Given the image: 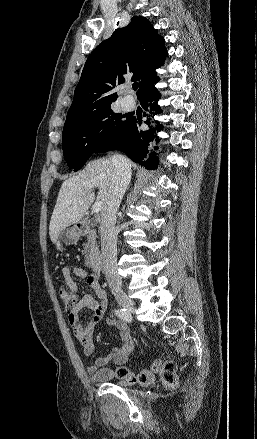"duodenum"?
<instances>
[{"instance_id":"duodenum-1","label":"duodenum","mask_w":257,"mask_h":439,"mask_svg":"<svg viewBox=\"0 0 257 439\" xmlns=\"http://www.w3.org/2000/svg\"><path fill=\"white\" fill-rule=\"evenodd\" d=\"M87 228V225L83 222L79 224V231L80 233L84 232ZM90 267L95 273H100L103 268V259L100 254H96L93 258L90 260Z\"/></svg>"}]
</instances>
